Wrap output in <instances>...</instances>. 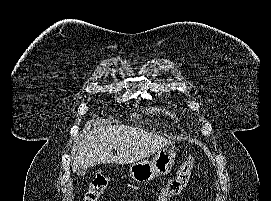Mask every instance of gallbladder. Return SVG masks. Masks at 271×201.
Listing matches in <instances>:
<instances>
[{"label":"gallbladder","mask_w":271,"mask_h":201,"mask_svg":"<svg viewBox=\"0 0 271 201\" xmlns=\"http://www.w3.org/2000/svg\"><path fill=\"white\" fill-rule=\"evenodd\" d=\"M86 172H87V169L79 168L76 173L78 176H84L86 174Z\"/></svg>","instance_id":"gallbladder-1"}]
</instances>
